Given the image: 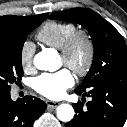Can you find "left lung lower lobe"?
Wrapping results in <instances>:
<instances>
[{"instance_id":"obj_1","label":"left lung lower lobe","mask_w":127,"mask_h":127,"mask_svg":"<svg viewBox=\"0 0 127 127\" xmlns=\"http://www.w3.org/2000/svg\"><path fill=\"white\" fill-rule=\"evenodd\" d=\"M81 94V93H77ZM84 95L91 101L73 104L74 118L66 127H123L127 119V83L103 81Z\"/></svg>"}]
</instances>
